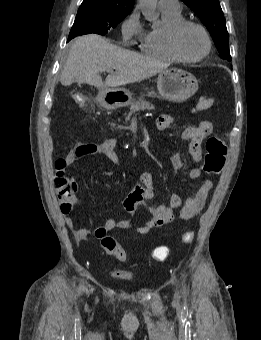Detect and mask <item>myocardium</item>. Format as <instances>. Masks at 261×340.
I'll return each mask as SVG.
<instances>
[{"label": "myocardium", "mask_w": 261, "mask_h": 340, "mask_svg": "<svg viewBox=\"0 0 261 340\" xmlns=\"http://www.w3.org/2000/svg\"><path fill=\"white\" fill-rule=\"evenodd\" d=\"M189 25L199 28L202 31L206 40V50L203 54L194 58L184 56L178 47L179 34L183 30V28ZM168 46L178 60L187 63H195L205 59L210 54L212 49V41L208 30L200 22L191 19H181L176 22L168 31Z\"/></svg>", "instance_id": "1"}]
</instances>
